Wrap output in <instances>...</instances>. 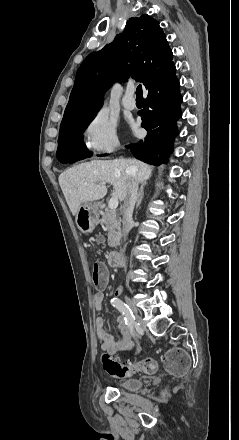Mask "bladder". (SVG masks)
<instances>
[{
	"instance_id": "bladder-1",
	"label": "bladder",
	"mask_w": 239,
	"mask_h": 440,
	"mask_svg": "<svg viewBox=\"0 0 239 440\" xmlns=\"http://www.w3.org/2000/svg\"><path fill=\"white\" fill-rule=\"evenodd\" d=\"M114 385L126 391H138L142 388L143 382L140 379L127 378L114 382Z\"/></svg>"
}]
</instances>
